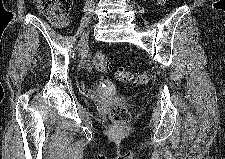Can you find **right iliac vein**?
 Here are the masks:
<instances>
[{"label": "right iliac vein", "mask_w": 225, "mask_h": 159, "mask_svg": "<svg viewBox=\"0 0 225 159\" xmlns=\"http://www.w3.org/2000/svg\"><path fill=\"white\" fill-rule=\"evenodd\" d=\"M87 41H88V35H86V36L83 38V40H82V42H81V47H84V46L86 45Z\"/></svg>", "instance_id": "right-iliac-vein-1"}]
</instances>
